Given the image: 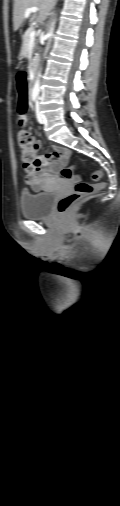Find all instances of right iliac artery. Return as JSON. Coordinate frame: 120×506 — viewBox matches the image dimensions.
Masks as SVG:
<instances>
[{"mask_svg": "<svg viewBox=\"0 0 120 506\" xmlns=\"http://www.w3.org/2000/svg\"><path fill=\"white\" fill-rule=\"evenodd\" d=\"M36 99H37V94H32V100H33L34 102H36Z\"/></svg>", "mask_w": 120, "mask_h": 506, "instance_id": "right-iliac-artery-1", "label": "right iliac artery"}]
</instances>
